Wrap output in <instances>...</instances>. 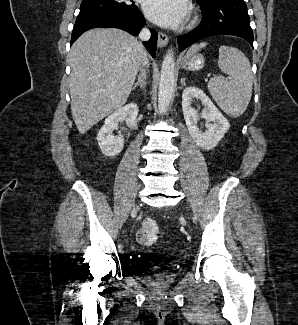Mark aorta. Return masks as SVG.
Returning <instances> with one entry per match:
<instances>
[{
	"label": "aorta",
	"instance_id": "1",
	"mask_svg": "<svg viewBox=\"0 0 298 325\" xmlns=\"http://www.w3.org/2000/svg\"><path fill=\"white\" fill-rule=\"evenodd\" d=\"M175 86V52L173 46L164 54L158 86V110L165 112L173 96Z\"/></svg>",
	"mask_w": 298,
	"mask_h": 325
}]
</instances>
